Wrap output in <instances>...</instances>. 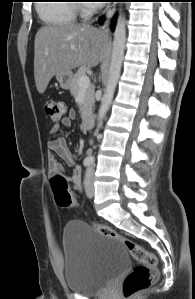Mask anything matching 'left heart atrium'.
Segmentation results:
<instances>
[{"label":"left heart atrium","instance_id":"1","mask_svg":"<svg viewBox=\"0 0 195 299\" xmlns=\"http://www.w3.org/2000/svg\"><path fill=\"white\" fill-rule=\"evenodd\" d=\"M99 2H100V1H94V2H93V5H94V6L101 5Z\"/></svg>","mask_w":195,"mask_h":299}]
</instances>
